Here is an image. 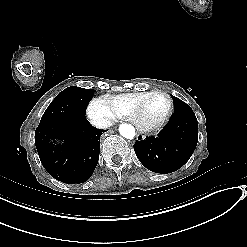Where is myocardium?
Wrapping results in <instances>:
<instances>
[{
    "label": "myocardium",
    "instance_id": "f54148a6",
    "mask_svg": "<svg viewBox=\"0 0 247 247\" xmlns=\"http://www.w3.org/2000/svg\"><path fill=\"white\" fill-rule=\"evenodd\" d=\"M155 95L163 96L166 99V106L164 108L163 113L158 118L151 119L148 117L145 108H146V102L148 101V99ZM172 104H173V101L167 93L160 91V90L150 91L147 94V96L143 100L138 102L136 105V109L139 113V126H138L139 130L140 131H151V130H154L162 126L171 115Z\"/></svg>",
    "mask_w": 247,
    "mask_h": 247
}]
</instances>
